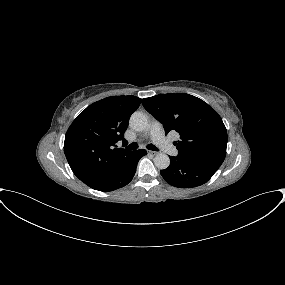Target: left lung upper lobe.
Listing matches in <instances>:
<instances>
[{
    "mask_svg": "<svg viewBox=\"0 0 285 285\" xmlns=\"http://www.w3.org/2000/svg\"><path fill=\"white\" fill-rule=\"evenodd\" d=\"M144 108L163 124L165 132L180 134L178 157L221 165L226 156L227 131L216 111L189 94H159L142 100Z\"/></svg>",
    "mask_w": 285,
    "mask_h": 285,
    "instance_id": "5c2ea615",
    "label": "left lung upper lobe"
}]
</instances>
